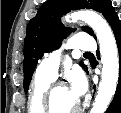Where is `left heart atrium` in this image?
Listing matches in <instances>:
<instances>
[{"label": "left heart atrium", "instance_id": "left-heart-atrium-1", "mask_svg": "<svg viewBox=\"0 0 121 113\" xmlns=\"http://www.w3.org/2000/svg\"><path fill=\"white\" fill-rule=\"evenodd\" d=\"M70 81H71L70 90L78 101L86 91V80L80 72H75L71 76Z\"/></svg>", "mask_w": 121, "mask_h": 113}]
</instances>
